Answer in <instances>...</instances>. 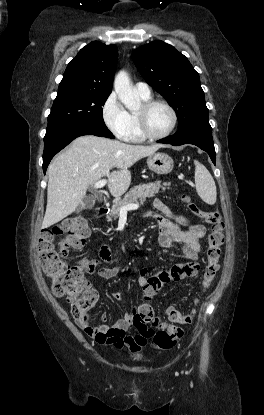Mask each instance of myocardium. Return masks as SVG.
<instances>
[{
	"label": "myocardium",
	"mask_w": 264,
	"mask_h": 415,
	"mask_svg": "<svg viewBox=\"0 0 264 415\" xmlns=\"http://www.w3.org/2000/svg\"><path fill=\"white\" fill-rule=\"evenodd\" d=\"M157 105H162L166 107L172 115L171 126L165 133L160 134V135H154L150 133V131L148 130L147 120H146L147 112L151 108ZM136 118H137V124H138V131L140 135L144 139L153 140V141L162 140L170 136L172 132L175 130L177 123H178V114L176 110L171 104H169L167 101L162 100V99H150L148 101H144L140 109L136 111Z\"/></svg>",
	"instance_id": "obj_1"
}]
</instances>
